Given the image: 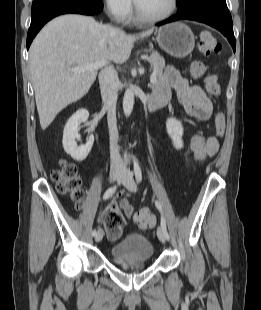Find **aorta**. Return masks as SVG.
<instances>
[{"label":"aorta","mask_w":261,"mask_h":310,"mask_svg":"<svg viewBox=\"0 0 261 310\" xmlns=\"http://www.w3.org/2000/svg\"><path fill=\"white\" fill-rule=\"evenodd\" d=\"M134 106V91L132 88H128L125 91L123 98V112L126 117L130 116Z\"/></svg>","instance_id":"obj_1"}]
</instances>
